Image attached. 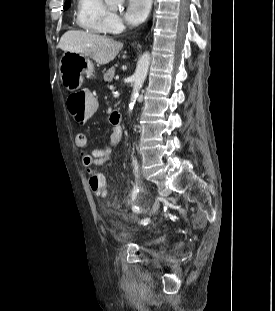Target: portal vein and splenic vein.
Segmentation results:
<instances>
[{
    "label": "portal vein and splenic vein",
    "instance_id": "18ae733b",
    "mask_svg": "<svg viewBox=\"0 0 275 311\" xmlns=\"http://www.w3.org/2000/svg\"><path fill=\"white\" fill-rule=\"evenodd\" d=\"M117 78H119V76H116V79H117ZM111 88H112V86H111Z\"/></svg>",
    "mask_w": 275,
    "mask_h": 311
}]
</instances>
